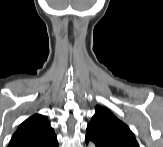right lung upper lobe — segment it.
<instances>
[{"label":"right lung upper lobe","mask_w":163,"mask_h":147,"mask_svg":"<svg viewBox=\"0 0 163 147\" xmlns=\"http://www.w3.org/2000/svg\"><path fill=\"white\" fill-rule=\"evenodd\" d=\"M56 138L47 117L35 114L25 120L13 134L9 147L22 143L47 142Z\"/></svg>","instance_id":"obj_1"}]
</instances>
